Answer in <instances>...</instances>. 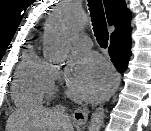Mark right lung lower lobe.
Segmentation results:
<instances>
[{"mask_svg": "<svg viewBox=\"0 0 151 131\" xmlns=\"http://www.w3.org/2000/svg\"><path fill=\"white\" fill-rule=\"evenodd\" d=\"M131 40L110 43L109 55L111 61L120 71L126 70L131 56Z\"/></svg>", "mask_w": 151, "mask_h": 131, "instance_id": "right-lung-lower-lobe-1", "label": "right lung lower lobe"}]
</instances>
